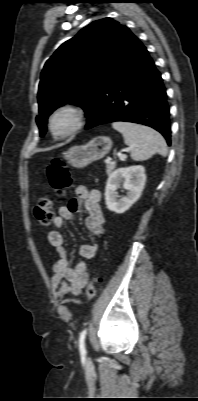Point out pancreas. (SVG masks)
<instances>
[{"instance_id":"cf45deb5","label":"pancreas","mask_w":198,"mask_h":401,"mask_svg":"<svg viewBox=\"0 0 198 401\" xmlns=\"http://www.w3.org/2000/svg\"><path fill=\"white\" fill-rule=\"evenodd\" d=\"M114 169H115V164L107 163V165H106V173L108 175H110L113 172Z\"/></svg>"}]
</instances>
